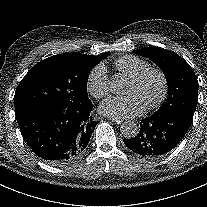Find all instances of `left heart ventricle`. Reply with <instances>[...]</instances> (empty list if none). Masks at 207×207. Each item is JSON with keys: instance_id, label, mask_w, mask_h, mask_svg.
Segmentation results:
<instances>
[{"instance_id": "obj_1", "label": "left heart ventricle", "mask_w": 207, "mask_h": 207, "mask_svg": "<svg viewBox=\"0 0 207 207\" xmlns=\"http://www.w3.org/2000/svg\"><path fill=\"white\" fill-rule=\"evenodd\" d=\"M161 93V80L156 75H150L141 85L135 86L129 82L125 94L136 96L143 107L153 103Z\"/></svg>"}]
</instances>
